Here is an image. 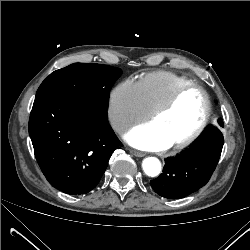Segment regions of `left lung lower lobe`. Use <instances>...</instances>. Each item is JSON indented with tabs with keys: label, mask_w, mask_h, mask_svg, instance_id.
Here are the masks:
<instances>
[{
	"label": "left lung lower lobe",
	"mask_w": 250,
	"mask_h": 250,
	"mask_svg": "<svg viewBox=\"0 0 250 250\" xmlns=\"http://www.w3.org/2000/svg\"><path fill=\"white\" fill-rule=\"evenodd\" d=\"M224 138L208 126L201 136L176 157L167 158L163 173L150 184L160 196L178 199L198 190L210 179L219 161Z\"/></svg>",
	"instance_id": "obj_1"
}]
</instances>
